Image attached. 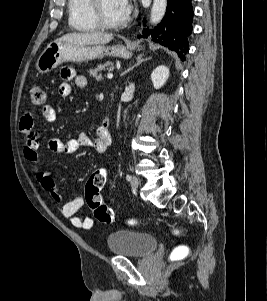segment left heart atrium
<instances>
[{"instance_id": "left-heart-atrium-1", "label": "left heart atrium", "mask_w": 267, "mask_h": 301, "mask_svg": "<svg viewBox=\"0 0 267 301\" xmlns=\"http://www.w3.org/2000/svg\"><path fill=\"white\" fill-rule=\"evenodd\" d=\"M120 1L122 3L123 10L126 12V14H128L130 10L129 0H120Z\"/></svg>"}]
</instances>
